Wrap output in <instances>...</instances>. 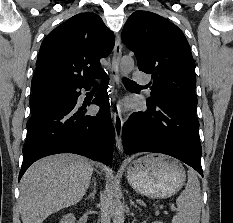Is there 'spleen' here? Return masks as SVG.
<instances>
[{
    "mask_svg": "<svg viewBox=\"0 0 233 223\" xmlns=\"http://www.w3.org/2000/svg\"><path fill=\"white\" fill-rule=\"evenodd\" d=\"M201 189L195 171H189L185 189L177 197V213L172 223H200Z\"/></svg>",
    "mask_w": 233,
    "mask_h": 223,
    "instance_id": "spleen-1",
    "label": "spleen"
}]
</instances>
